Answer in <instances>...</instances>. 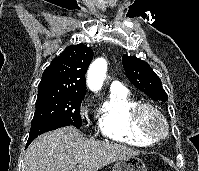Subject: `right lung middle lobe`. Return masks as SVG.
I'll return each instance as SVG.
<instances>
[{
    "instance_id": "1",
    "label": "right lung middle lobe",
    "mask_w": 199,
    "mask_h": 171,
    "mask_svg": "<svg viewBox=\"0 0 199 171\" xmlns=\"http://www.w3.org/2000/svg\"><path fill=\"white\" fill-rule=\"evenodd\" d=\"M84 96L56 89H39L32 125L43 120H62L82 126L80 105Z\"/></svg>"
}]
</instances>
